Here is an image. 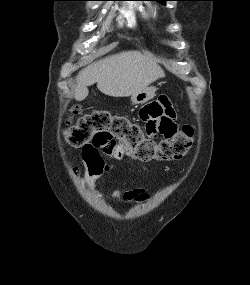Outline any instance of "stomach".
I'll return each instance as SVG.
<instances>
[{
	"instance_id": "obj_1",
	"label": "stomach",
	"mask_w": 250,
	"mask_h": 285,
	"mask_svg": "<svg viewBox=\"0 0 250 285\" xmlns=\"http://www.w3.org/2000/svg\"><path fill=\"white\" fill-rule=\"evenodd\" d=\"M155 92V87H147L141 92L131 95V101L133 104H144L147 101L153 99V97L155 96Z\"/></svg>"
}]
</instances>
